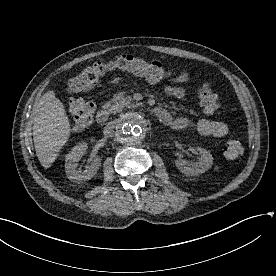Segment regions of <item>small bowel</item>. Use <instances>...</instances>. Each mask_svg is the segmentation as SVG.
<instances>
[{"label": "small bowel", "mask_w": 276, "mask_h": 276, "mask_svg": "<svg viewBox=\"0 0 276 276\" xmlns=\"http://www.w3.org/2000/svg\"><path fill=\"white\" fill-rule=\"evenodd\" d=\"M188 79L189 76L185 72L171 77L164 87L166 94L179 100H185L187 98V92L181 84L188 81ZM166 112L168 114V119L163 123L172 129L181 130L185 128H193L203 136H211L215 138H221L228 133V126L222 121L206 118L191 120L185 117H174L168 111ZM207 114L212 115L209 113Z\"/></svg>", "instance_id": "small-bowel-1"}]
</instances>
